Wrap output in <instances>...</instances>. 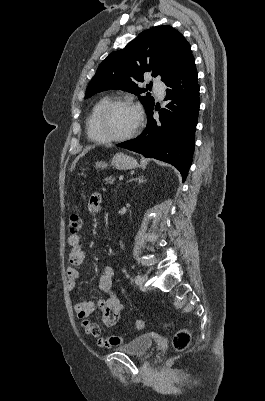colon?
Here are the masks:
<instances>
[{
  "mask_svg": "<svg viewBox=\"0 0 265 401\" xmlns=\"http://www.w3.org/2000/svg\"><path fill=\"white\" fill-rule=\"evenodd\" d=\"M82 218L79 213L73 212L68 219V227L71 233L75 234L81 229ZM144 327V322L138 320L135 323V329L141 330ZM191 341V334L187 329L178 330L173 337V347L177 351H183L188 348Z\"/></svg>",
  "mask_w": 265,
  "mask_h": 401,
  "instance_id": "colon-1",
  "label": "colon"
}]
</instances>
